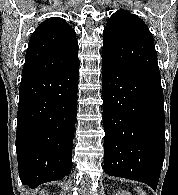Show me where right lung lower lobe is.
<instances>
[{
	"label": "right lung lower lobe",
	"mask_w": 178,
	"mask_h": 195,
	"mask_svg": "<svg viewBox=\"0 0 178 195\" xmlns=\"http://www.w3.org/2000/svg\"><path fill=\"white\" fill-rule=\"evenodd\" d=\"M79 63L22 77L17 115L19 177L31 188L61 180L72 169Z\"/></svg>",
	"instance_id": "98d812e1"
}]
</instances>
